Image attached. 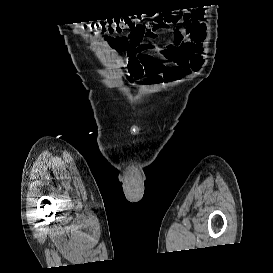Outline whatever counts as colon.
I'll return each instance as SVG.
<instances>
[{
    "label": "colon",
    "mask_w": 273,
    "mask_h": 273,
    "mask_svg": "<svg viewBox=\"0 0 273 273\" xmlns=\"http://www.w3.org/2000/svg\"><path fill=\"white\" fill-rule=\"evenodd\" d=\"M168 17H163L162 21L152 24H144L134 17L126 16L117 19L101 20L93 22L91 28L93 31L102 34H118L128 31L129 42L132 45H139L145 36L149 34L151 28H159L168 21Z\"/></svg>",
    "instance_id": "1"
}]
</instances>
